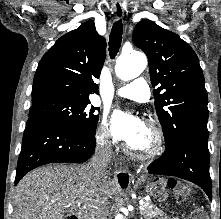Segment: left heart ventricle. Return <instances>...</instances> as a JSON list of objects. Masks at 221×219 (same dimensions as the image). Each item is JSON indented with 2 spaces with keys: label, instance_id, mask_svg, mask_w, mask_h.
I'll list each match as a JSON object with an SVG mask.
<instances>
[{
  "label": "left heart ventricle",
  "instance_id": "obj_1",
  "mask_svg": "<svg viewBox=\"0 0 221 219\" xmlns=\"http://www.w3.org/2000/svg\"><path fill=\"white\" fill-rule=\"evenodd\" d=\"M150 140L149 132L143 127L137 136L129 141V144L138 150H143L149 146Z\"/></svg>",
  "mask_w": 221,
  "mask_h": 219
}]
</instances>
